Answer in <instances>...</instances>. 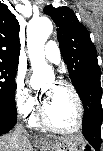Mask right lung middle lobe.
<instances>
[{
	"mask_svg": "<svg viewBox=\"0 0 103 151\" xmlns=\"http://www.w3.org/2000/svg\"><path fill=\"white\" fill-rule=\"evenodd\" d=\"M18 64L0 63V108L16 114L15 76Z\"/></svg>",
	"mask_w": 103,
	"mask_h": 151,
	"instance_id": "dd1d6c3e",
	"label": "right lung middle lobe"
}]
</instances>
